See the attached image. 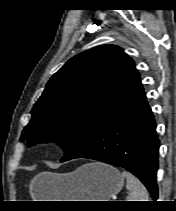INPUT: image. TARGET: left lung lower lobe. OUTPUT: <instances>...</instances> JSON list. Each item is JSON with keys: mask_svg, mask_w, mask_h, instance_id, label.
Wrapping results in <instances>:
<instances>
[{"mask_svg": "<svg viewBox=\"0 0 176 211\" xmlns=\"http://www.w3.org/2000/svg\"><path fill=\"white\" fill-rule=\"evenodd\" d=\"M158 148L155 119L143 92L112 114L73 158H89L125 168L143 182L156 200Z\"/></svg>", "mask_w": 176, "mask_h": 211, "instance_id": "obj_1", "label": "left lung lower lobe"}]
</instances>
